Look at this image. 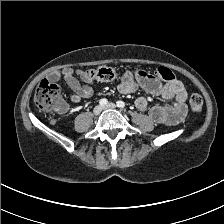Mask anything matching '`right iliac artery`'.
<instances>
[{
  "label": "right iliac artery",
  "instance_id": "right-iliac-artery-1",
  "mask_svg": "<svg viewBox=\"0 0 224 224\" xmlns=\"http://www.w3.org/2000/svg\"><path fill=\"white\" fill-rule=\"evenodd\" d=\"M107 103H108V100L105 99V98H103V99H101V100L99 101V104H100L101 106H105Z\"/></svg>",
  "mask_w": 224,
  "mask_h": 224
}]
</instances>
